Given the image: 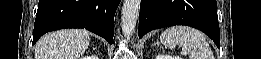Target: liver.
<instances>
[{
  "instance_id": "6515ba94",
  "label": "liver",
  "mask_w": 261,
  "mask_h": 59,
  "mask_svg": "<svg viewBox=\"0 0 261 59\" xmlns=\"http://www.w3.org/2000/svg\"><path fill=\"white\" fill-rule=\"evenodd\" d=\"M86 30L66 29L45 34L35 46V59H78L89 46Z\"/></svg>"
}]
</instances>
